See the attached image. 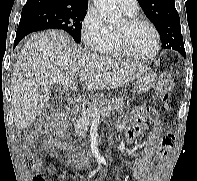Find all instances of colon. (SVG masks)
<instances>
[{
  "label": "colon",
  "instance_id": "obj_1",
  "mask_svg": "<svg viewBox=\"0 0 197 181\" xmlns=\"http://www.w3.org/2000/svg\"><path fill=\"white\" fill-rule=\"evenodd\" d=\"M172 86V76L170 74L160 75L157 82V94L160 101L166 104L169 91ZM67 127V117L63 114L46 115L43 117L40 129L46 136H55L62 134Z\"/></svg>",
  "mask_w": 197,
  "mask_h": 181
}]
</instances>
